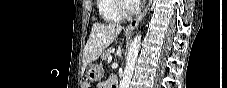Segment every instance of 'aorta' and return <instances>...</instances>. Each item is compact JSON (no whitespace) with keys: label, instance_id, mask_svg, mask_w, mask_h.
Returning <instances> with one entry per match:
<instances>
[{"label":"aorta","instance_id":"obj_1","mask_svg":"<svg viewBox=\"0 0 227 88\" xmlns=\"http://www.w3.org/2000/svg\"><path fill=\"white\" fill-rule=\"evenodd\" d=\"M140 46L141 35L137 34L130 44L126 57V66L120 81L119 88H129Z\"/></svg>","mask_w":227,"mask_h":88}]
</instances>
